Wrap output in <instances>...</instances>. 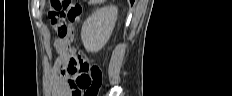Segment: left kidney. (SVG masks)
<instances>
[{"label": "left kidney", "instance_id": "obj_1", "mask_svg": "<svg viewBox=\"0 0 232 96\" xmlns=\"http://www.w3.org/2000/svg\"><path fill=\"white\" fill-rule=\"evenodd\" d=\"M118 15L115 6L97 9L83 23L81 39L88 52H98L108 42Z\"/></svg>", "mask_w": 232, "mask_h": 96}]
</instances>
